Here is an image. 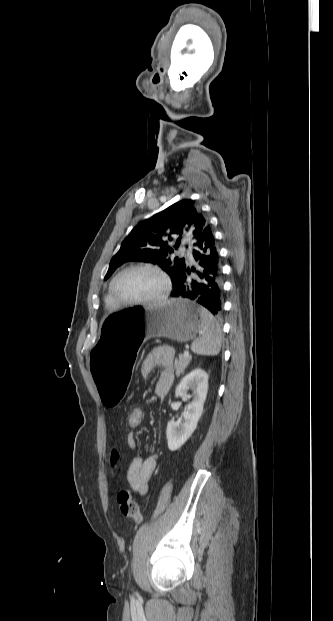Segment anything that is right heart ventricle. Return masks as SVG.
<instances>
[{"label":"right heart ventricle","instance_id":"e07e8e85","mask_svg":"<svg viewBox=\"0 0 333 621\" xmlns=\"http://www.w3.org/2000/svg\"><path fill=\"white\" fill-rule=\"evenodd\" d=\"M105 302H106V305H107L109 308H116V307L118 306V305L115 303V301L113 300V298H112V296H111V294H110V291H109V290H108V292H107V294H106V296H105Z\"/></svg>","mask_w":333,"mask_h":621}]
</instances>
